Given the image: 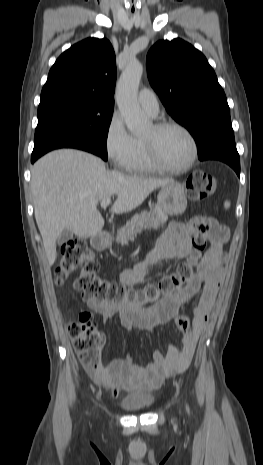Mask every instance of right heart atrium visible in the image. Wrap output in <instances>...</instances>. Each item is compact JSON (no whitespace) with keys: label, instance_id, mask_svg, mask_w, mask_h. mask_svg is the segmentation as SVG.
Instances as JSON below:
<instances>
[{"label":"right heart atrium","instance_id":"right-heart-atrium-1","mask_svg":"<svg viewBox=\"0 0 263 465\" xmlns=\"http://www.w3.org/2000/svg\"><path fill=\"white\" fill-rule=\"evenodd\" d=\"M104 147L108 158L115 166L128 169L135 154V139L126 129L118 113H113L108 121Z\"/></svg>","mask_w":263,"mask_h":465}]
</instances>
